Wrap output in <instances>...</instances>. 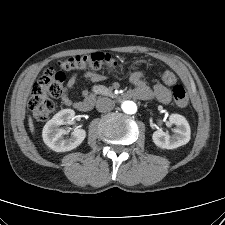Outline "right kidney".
<instances>
[{"instance_id":"obj_1","label":"right kidney","mask_w":225,"mask_h":225,"mask_svg":"<svg viewBox=\"0 0 225 225\" xmlns=\"http://www.w3.org/2000/svg\"><path fill=\"white\" fill-rule=\"evenodd\" d=\"M75 112L72 109H64L59 111L49 120L42 132L44 143L56 152L71 151L78 147L86 137V131L83 129H75L70 138L65 139L64 135L67 131L60 128L65 123H70L74 118Z\"/></svg>"}]
</instances>
